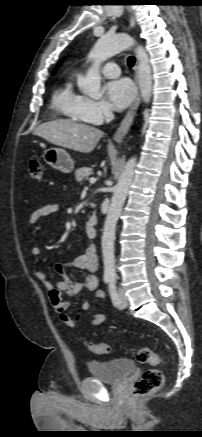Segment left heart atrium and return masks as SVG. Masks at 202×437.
<instances>
[{
	"label": "left heart atrium",
	"mask_w": 202,
	"mask_h": 437,
	"mask_svg": "<svg viewBox=\"0 0 202 437\" xmlns=\"http://www.w3.org/2000/svg\"><path fill=\"white\" fill-rule=\"evenodd\" d=\"M105 90L109 101L116 110L126 108L134 99L135 90L130 80L120 78L108 82Z\"/></svg>",
	"instance_id": "obj_1"
}]
</instances>
